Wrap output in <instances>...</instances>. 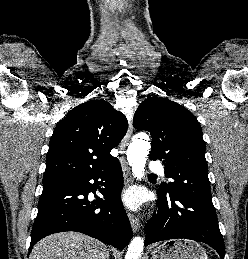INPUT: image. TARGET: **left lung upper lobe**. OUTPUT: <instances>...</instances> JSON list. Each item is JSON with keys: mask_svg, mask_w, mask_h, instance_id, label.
Here are the masks:
<instances>
[{"mask_svg": "<svg viewBox=\"0 0 248 259\" xmlns=\"http://www.w3.org/2000/svg\"><path fill=\"white\" fill-rule=\"evenodd\" d=\"M133 126L151 133V160H161L173 182L160 192L194 199H212L205 159V143L196 117L167 98L145 99L135 112Z\"/></svg>", "mask_w": 248, "mask_h": 259, "instance_id": "1", "label": "left lung upper lobe"}]
</instances>
